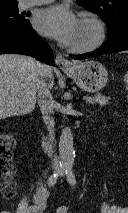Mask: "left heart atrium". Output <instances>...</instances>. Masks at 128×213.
<instances>
[{
  "label": "left heart atrium",
  "instance_id": "obj_1",
  "mask_svg": "<svg viewBox=\"0 0 128 213\" xmlns=\"http://www.w3.org/2000/svg\"><path fill=\"white\" fill-rule=\"evenodd\" d=\"M33 24L41 34L71 45L79 20L67 5L56 4L38 11L34 16Z\"/></svg>",
  "mask_w": 128,
  "mask_h": 213
}]
</instances>
